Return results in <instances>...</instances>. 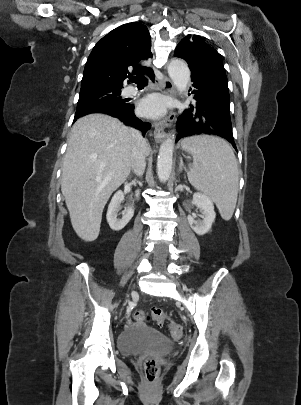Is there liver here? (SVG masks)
<instances>
[{
  "label": "liver",
  "instance_id": "6515ba94",
  "mask_svg": "<svg viewBox=\"0 0 301 405\" xmlns=\"http://www.w3.org/2000/svg\"><path fill=\"white\" fill-rule=\"evenodd\" d=\"M132 130L103 114L79 118L71 129L61 191L72 226L85 241L98 237L105 204L131 172Z\"/></svg>",
  "mask_w": 301,
  "mask_h": 405
}]
</instances>
